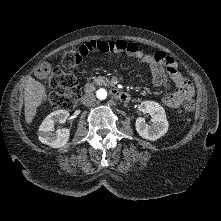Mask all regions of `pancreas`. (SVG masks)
Wrapping results in <instances>:
<instances>
[{
  "label": "pancreas",
  "instance_id": "cf45deb5",
  "mask_svg": "<svg viewBox=\"0 0 221 221\" xmlns=\"http://www.w3.org/2000/svg\"><path fill=\"white\" fill-rule=\"evenodd\" d=\"M94 83L96 85H103V84L107 85V84H109V79H107L106 77L99 76L94 79Z\"/></svg>",
  "mask_w": 221,
  "mask_h": 221
}]
</instances>
